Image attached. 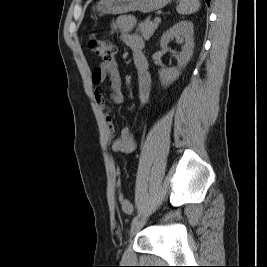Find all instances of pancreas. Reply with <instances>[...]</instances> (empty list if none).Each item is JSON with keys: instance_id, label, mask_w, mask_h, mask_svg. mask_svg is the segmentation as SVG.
<instances>
[{"instance_id": "obj_1", "label": "pancreas", "mask_w": 267, "mask_h": 267, "mask_svg": "<svg viewBox=\"0 0 267 267\" xmlns=\"http://www.w3.org/2000/svg\"><path fill=\"white\" fill-rule=\"evenodd\" d=\"M159 22L150 21L147 18L145 21L139 23L137 31L140 32L145 40H148L158 28Z\"/></svg>"}]
</instances>
